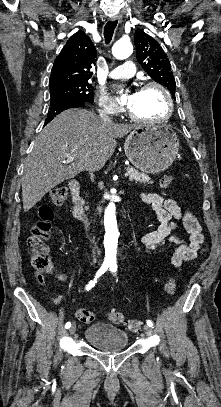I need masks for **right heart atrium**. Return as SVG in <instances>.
Listing matches in <instances>:
<instances>
[{
  "instance_id": "d8ad5b80",
  "label": "right heart atrium",
  "mask_w": 221,
  "mask_h": 407,
  "mask_svg": "<svg viewBox=\"0 0 221 407\" xmlns=\"http://www.w3.org/2000/svg\"><path fill=\"white\" fill-rule=\"evenodd\" d=\"M97 110L100 113H106L110 115H118L121 111L116 102L104 93H101L97 98Z\"/></svg>"
}]
</instances>
